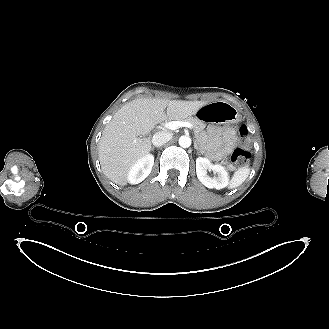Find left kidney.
Listing matches in <instances>:
<instances>
[{
  "label": "left kidney",
  "instance_id": "left-kidney-1",
  "mask_svg": "<svg viewBox=\"0 0 329 329\" xmlns=\"http://www.w3.org/2000/svg\"><path fill=\"white\" fill-rule=\"evenodd\" d=\"M207 170L213 171L215 177L207 175ZM196 173L200 182L207 188L222 189L229 185V175L221 164H212L207 158L196 159Z\"/></svg>",
  "mask_w": 329,
  "mask_h": 329
}]
</instances>
